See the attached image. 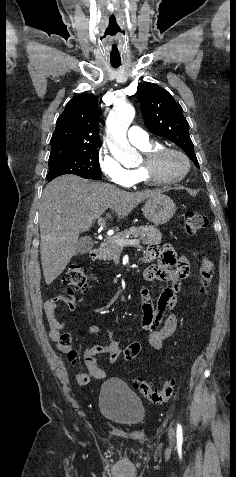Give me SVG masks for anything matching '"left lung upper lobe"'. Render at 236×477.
I'll list each match as a JSON object with an SVG mask.
<instances>
[{"label": "left lung upper lobe", "instance_id": "1", "mask_svg": "<svg viewBox=\"0 0 236 477\" xmlns=\"http://www.w3.org/2000/svg\"><path fill=\"white\" fill-rule=\"evenodd\" d=\"M139 100L148 130L177 144L199 168L189 136V124L182 107L170 93L154 83H145L139 88Z\"/></svg>", "mask_w": 236, "mask_h": 477}]
</instances>
